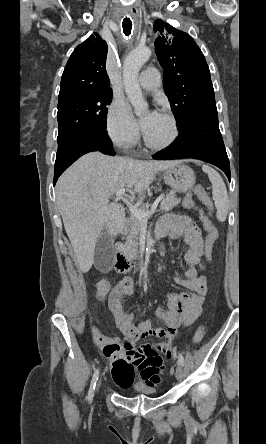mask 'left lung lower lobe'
Masks as SVG:
<instances>
[{"mask_svg":"<svg viewBox=\"0 0 266 444\" xmlns=\"http://www.w3.org/2000/svg\"><path fill=\"white\" fill-rule=\"evenodd\" d=\"M180 136L165 152L157 153L156 160L194 158L219 167L228 177L230 164L218 126L217 109L190 116L181 126Z\"/></svg>","mask_w":266,"mask_h":444,"instance_id":"obj_1","label":"left lung lower lobe"}]
</instances>
